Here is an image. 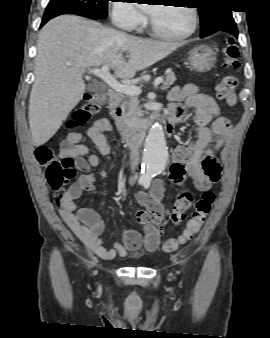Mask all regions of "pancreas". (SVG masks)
I'll return each instance as SVG.
<instances>
[{
    "label": "pancreas",
    "instance_id": "cf45deb5",
    "mask_svg": "<svg viewBox=\"0 0 270 338\" xmlns=\"http://www.w3.org/2000/svg\"><path fill=\"white\" fill-rule=\"evenodd\" d=\"M176 77L173 72L167 74L163 85L162 90L168 89L174 82ZM121 116L118 119V127L121 131L125 128H133L140 124L142 117L144 116V111L139 106V100L137 96L128 95L125 97L121 103Z\"/></svg>",
    "mask_w": 270,
    "mask_h": 338
}]
</instances>
